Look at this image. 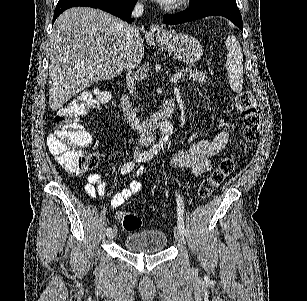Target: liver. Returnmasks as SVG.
<instances>
[{
	"mask_svg": "<svg viewBox=\"0 0 307 301\" xmlns=\"http://www.w3.org/2000/svg\"><path fill=\"white\" fill-rule=\"evenodd\" d=\"M127 22L89 6L64 10L50 34L49 106L57 110L74 94L125 70ZM135 66L144 56L143 38L131 44Z\"/></svg>",
	"mask_w": 307,
	"mask_h": 301,
	"instance_id": "obj_1",
	"label": "liver"
}]
</instances>
